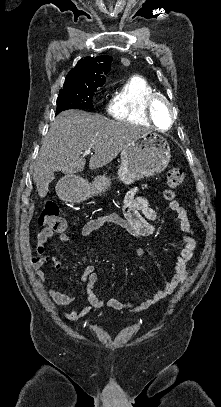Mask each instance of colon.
I'll list each match as a JSON object with an SVG mask.
<instances>
[{"label": "colon", "instance_id": "colon-1", "mask_svg": "<svg viewBox=\"0 0 221 407\" xmlns=\"http://www.w3.org/2000/svg\"><path fill=\"white\" fill-rule=\"evenodd\" d=\"M184 178L185 174L181 168L173 167L167 171L168 188L164 191V197L167 200H176V188L183 183ZM39 222L44 225L39 233V236L44 240H48L65 229V221L60 216L58 205L54 202L46 203L39 216Z\"/></svg>", "mask_w": 221, "mask_h": 407}]
</instances>
